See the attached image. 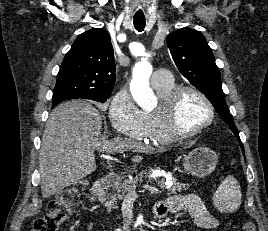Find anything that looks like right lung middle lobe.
Wrapping results in <instances>:
<instances>
[{"mask_svg":"<svg viewBox=\"0 0 268 231\" xmlns=\"http://www.w3.org/2000/svg\"><path fill=\"white\" fill-rule=\"evenodd\" d=\"M63 95H65L64 90H61V89H60V90H55V89H54L52 101H56V100L61 99V97H63ZM108 97H109V96H107V97H97V98H92V99L104 103V102L107 100ZM52 103H53V102H52ZM56 105H57V104L52 105V108H53L54 106H56Z\"/></svg>","mask_w":268,"mask_h":231,"instance_id":"1","label":"right lung middle lobe"}]
</instances>
